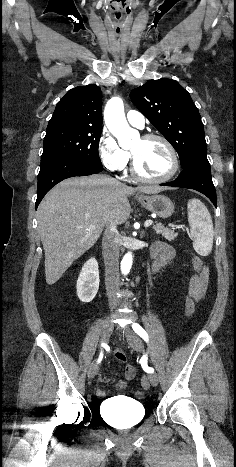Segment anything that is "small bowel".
<instances>
[{"label": "small bowel", "instance_id": "c3829d8e", "mask_svg": "<svg viewBox=\"0 0 236 467\" xmlns=\"http://www.w3.org/2000/svg\"><path fill=\"white\" fill-rule=\"evenodd\" d=\"M152 255L155 258L154 262V270H158L165 265L169 264L174 256V250L171 246H169L166 243L159 242L155 245ZM208 282H209V270L206 266H203L202 270L196 274H193L190 278L189 282V297L192 298L194 301H200L204 296L207 291L208 287ZM119 352L115 353V359L120 362L124 363L125 360L121 361L116 358V355ZM122 353V352H121ZM136 375V370L134 366L131 364H126L125 365V379L126 380H132ZM100 381L105 383L109 381V378L105 375H102L100 377ZM127 385V382L125 380L119 381L117 383V388L118 389H123ZM97 396L99 397H106L107 392L103 389H98L97 390Z\"/></svg>", "mask_w": 236, "mask_h": 467}]
</instances>
